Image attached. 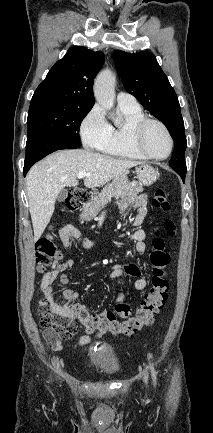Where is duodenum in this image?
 Returning a JSON list of instances; mask_svg holds the SVG:
<instances>
[{
	"instance_id": "410a0bca",
	"label": "duodenum",
	"mask_w": 213,
	"mask_h": 433,
	"mask_svg": "<svg viewBox=\"0 0 213 433\" xmlns=\"http://www.w3.org/2000/svg\"><path fill=\"white\" fill-rule=\"evenodd\" d=\"M89 199H90V197H89ZM89 199L85 203H87L89 201Z\"/></svg>"
}]
</instances>
